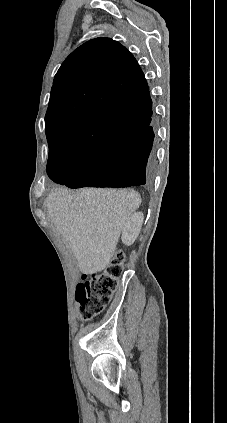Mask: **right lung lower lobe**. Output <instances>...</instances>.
Wrapping results in <instances>:
<instances>
[{"mask_svg":"<svg viewBox=\"0 0 227 423\" xmlns=\"http://www.w3.org/2000/svg\"><path fill=\"white\" fill-rule=\"evenodd\" d=\"M108 119L129 121L132 129L123 138L87 151L76 163L57 160L47 164L51 180L69 188L149 187L157 165L156 140L151 124L152 101L147 98L103 106Z\"/></svg>","mask_w":227,"mask_h":423,"instance_id":"1","label":"right lung lower lobe"}]
</instances>
